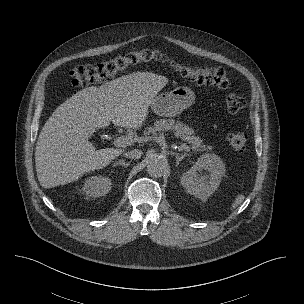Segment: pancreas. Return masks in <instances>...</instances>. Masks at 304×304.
<instances>
[{
  "label": "pancreas",
  "mask_w": 304,
  "mask_h": 304,
  "mask_svg": "<svg viewBox=\"0 0 304 304\" xmlns=\"http://www.w3.org/2000/svg\"><path fill=\"white\" fill-rule=\"evenodd\" d=\"M173 130L174 133L183 141H187L191 148L196 152L209 151L212 148L204 145L203 141L194 135V130L180 121L174 119H160L154 123L153 127L147 128L146 135H155L157 132Z\"/></svg>",
  "instance_id": "cf45deb5"
}]
</instances>
